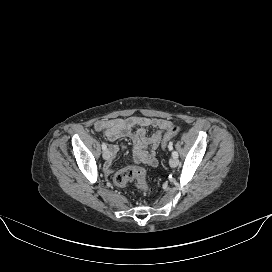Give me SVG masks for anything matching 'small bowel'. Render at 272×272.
I'll return each mask as SVG.
<instances>
[{
	"label": "small bowel",
	"instance_id": "c3829d8e",
	"mask_svg": "<svg viewBox=\"0 0 272 272\" xmlns=\"http://www.w3.org/2000/svg\"><path fill=\"white\" fill-rule=\"evenodd\" d=\"M172 126V121L165 118L131 116L98 121L95 123L94 128L98 132H103L110 141L129 138L132 142L134 161L148 166H156L158 161L155 157V150L162 140L163 133L170 130ZM148 127L157 130L149 136L146 130ZM134 128L137 129L134 131ZM123 149L124 146L112 145L111 155L114 157ZM105 170L107 173L112 172L109 164Z\"/></svg>",
	"mask_w": 272,
	"mask_h": 272
}]
</instances>
